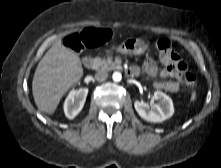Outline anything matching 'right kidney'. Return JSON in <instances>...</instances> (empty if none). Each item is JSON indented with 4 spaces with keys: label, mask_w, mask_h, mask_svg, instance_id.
Masks as SVG:
<instances>
[{
    "label": "right kidney",
    "mask_w": 221,
    "mask_h": 168,
    "mask_svg": "<svg viewBox=\"0 0 221 168\" xmlns=\"http://www.w3.org/2000/svg\"><path fill=\"white\" fill-rule=\"evenodd\" d=\"M88 94L87 88L72 90L64 103V112L67 118L74 119L82 110Z\"/></svg>",
    "instance_id": "ca27d5eb"
}]
</instances>
